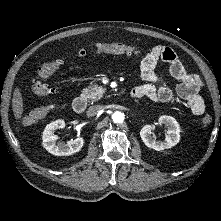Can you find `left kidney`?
I'll return each mask as SVG.
<instances>
[{
	"label": "left kidney",
	"instance_id": "obj_1",
	"mask_svg": "<svg viewBox=\"0 0 221 221\" xmlns=\"http://www.w3.org/2000/svg\"><path fill=\"white\" fill-rule=\"evenodd\" d=\"M158 124H164L168 128L165 140H156L151 135L154 127L152 125H145L140 131V136L144 144L157 151L175 146L180 140V127L178 122L172 116L163 115L159 117Z\"/></svg>",
	"mask_w": 221,
	"mask_h": 221
}]
</instances>
